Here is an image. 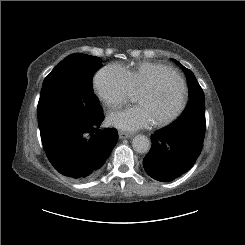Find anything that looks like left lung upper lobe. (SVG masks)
Wrapping results in <instances>:
<instances>
[{
	"mask_svg": "<svg viewBox=\"0 0 245 245\" xmlns=\"http://www.w3.org/2000/svg\"><path fill=\"white\" fill-rule=\"evenodd\" d=\"M179 65L187 74L190 85V100L183 114L164 129L171 133L188 134L203 142L205 136V101L204 93L192 71Z\"/></svg>",
	"mask_w": 245,
	"mask_h": 245,
	"instance_id": "left-lung-upper-lobe-1",
	"label": "left lung upper lobe"
}]
</instances>
